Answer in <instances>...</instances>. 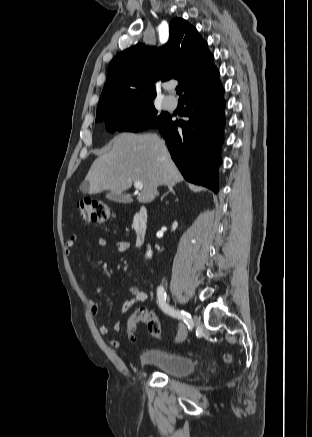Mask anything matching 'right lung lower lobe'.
<instances>
[{"label":"right lung lower lobe","mask_w":312,"mask_h":437,"mask_svg":"<svg viewBox=\"0 0 312 437\" xmlns=\"http://www.w3.org/2000/svg\"><path fill=\"white\" fill-rule=\"evenodd\" d=\"M223 92L217 72L184 94L185 115L189 121L170 120L159 128L183 177L215 193L218 191V163L225 123ZM178 126L183 129L180 134Z\"/></svg>","instance_id":"obj_1"}]
</instances>
